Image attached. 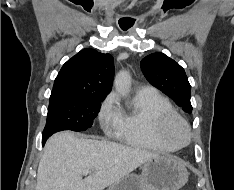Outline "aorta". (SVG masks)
Returning a JSON list of instances; mask_svg holds the SVG:
<instances>
[{"label": "aorta", "instance_id": "aorta-1", "mask_svg": "<svg viewBox=\"0 0 234 190\" xmlns=\"http://www.w3.org/2000/svg\"><path fill=\"white\" fill-rule=\"evenodd\" d=\"M114 85L121 95H126L129 92L131 85V76L127 71H120L114 80Z\"/></svg>", "mask_w": 234, "mask_h": 190}]
</instances>
